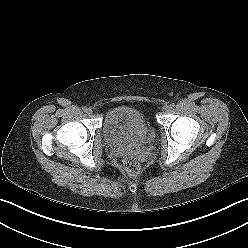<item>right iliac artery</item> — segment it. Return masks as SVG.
<instances>
[{"instance_id":"right-iliac-artery-1","label":"right iliac artery","mask_w":248,"mask_h":248,"mask_svg":"<svg viewBox=\"0 0 248 248\" xmlns=\"http://www.w3.org/2000/svg\"><path fill=\"white\" fill-rule=\"evenodd\" d=\"M82 110H83L84 112H86V111H87V107H82Z\"/></svg>"}]
</instances>
